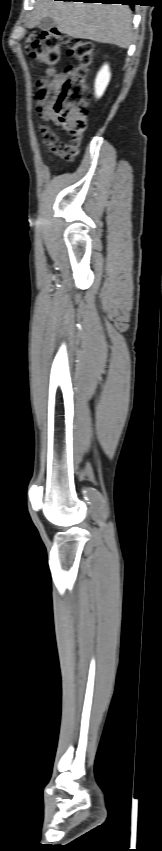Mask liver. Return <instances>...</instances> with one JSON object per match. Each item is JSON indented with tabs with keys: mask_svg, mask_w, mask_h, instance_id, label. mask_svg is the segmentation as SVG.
I'll use <instances>...</instances> for the list:
<instances>
[{
	"mask_svg": "<svg viewBox=\"0 0 162 851\" xmlns=\"http://www.w3.org/2000/svg\"><path fill=\"white\" fill-rule=\"evenodd\" d=\"M51 17L61 33L77 39L128 48L132 42V13L128 6L72 1L37 0L28 28Z\"/></svg>",
	"mask_w": 162,
	"mask_h": 851,
	"instance_id": "1",
	"label": "liver"
}]
</instances>
